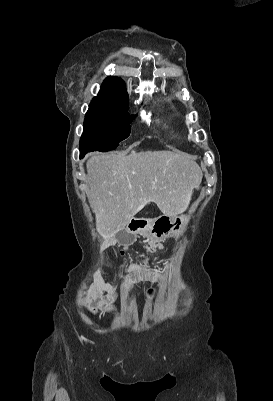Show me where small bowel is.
Listing matches in <instances>:
<instances>
[{
	"mask_svg": "<svg viewBox=\"0 0 273 401\" xmlns=\"http://www.w3.org/2000/svg\"><path fill=\"white\" fill-rule=\"evenodd\" d=\"M112 244L107 243L104 247ZM124 254V251L120 252L121 256ZM154 264V261L151 260L126 263L125 268L129 272L130 277L123 284L121 291L118 292L116 287L102 276L101 267L97 263L93 276L94 285L88 293V298L91 304L94 305L91 308V312L96 314V311L99 310L103 313H118L120 306L116 303L117 299L120 297L122 304H126L135 284L146 281H163L161 274L155 269ZM166 266H168V263Z\"/></svg>",
	"mask_w": 273,
	"mask_h": 401,
	"instance_id": "small-bowel-1",
	"label": "small bowel"
}]
</instances>
